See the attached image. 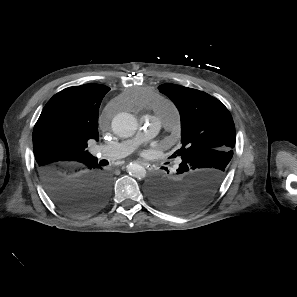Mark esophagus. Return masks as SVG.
<instances>
[{
	"label": "esophagus",
	"instance_id": "esophagus-1",
	"mask_svg": "<svg viewBox=\"0 0 297 297\" xmlns=\"http://www.w3.org/2000/svg\"><path fill=\"white\" fill-rule=\"evenodd\" d=\"M138 163L141 164V165H143V166H145V167L148 165V163L143 162V161H138Z\"/></svg>",
	"mask_w": 297,
	"mask_h": 297
}]
</instances>
